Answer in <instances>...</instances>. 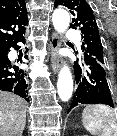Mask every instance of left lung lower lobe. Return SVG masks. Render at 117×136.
<instances>
[{"mask_svg":"<svg viewBox=\"0 0 117 136\" xmlns=\"http://www.w3.org/2000/svg\"><path fill=\"white\" fill-rule=\"evenodd\" d=\"M78 87L68 112L80 104H106L113 107L106 71L95 58L84 56V62H74Z\"/></svg>","mask_w":117,"mask_h":136,"instance_id":"obj_1","label":"left lung lower lobe"}]
</instances>
